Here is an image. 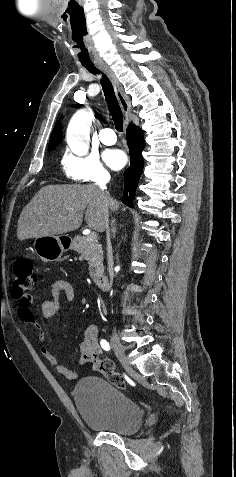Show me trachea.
Here are the masks:
<instances>
[{
    "label": "trachea",
    "mask_w": 236,
    "mask_h": 477,
    "mask_svg": "<svg viewBox=\"0 0 236 477\" xmlns=\"http://www.w3.org/2000/svg\"><path fill=\"white\" fill-rule=\"evenodd\" d=\"M82 65L92 74H100V71L92 63H82ZM101 84L105 99L107 101L108 109L114 121L115 128L118 132H123V115L115 96V92L111 81L106 75H102Z\"/></svg>",
    "instance_id": "1"
}]
</instances>
